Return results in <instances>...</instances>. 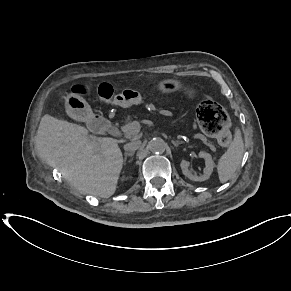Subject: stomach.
Returning a JSON list of instances; mask_svg holds the SVG:
<instances>
[{
	"label": "stomach",
	"mask_w": 291,
	"mask_h": 291,
	"mask_svg": "<svg viewBox=\"0 0 291 291\" xmlns=\"http://www.w3.org/2000/svg\"><path fill=\"white\" fill-rule=\"evenodd\" d=\"M158 87L163 93H171L179 90L181 88V84L176 80H164L159 83ZM186 94H188V97L192 99L195 96V91L188 89ZM65 106L67 113L71 117L77 119H83L91 112L88 103L76 94H69L65 97Z\"/></svg>",
	"instance_id": "obj_1"
}]
</instances>
